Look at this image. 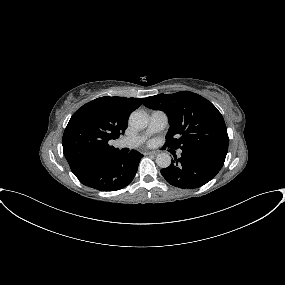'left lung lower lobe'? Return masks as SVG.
<instances>
[{
	"mask_svg": "<svg viewBox=\"0 0 285 285\" xmlns=\"http://www.w3.org/2000/svg\"><path fill=\"white\" fill-rule=\"evenodd\" d=\"M226 156L202 151H183L180 158L161 170L166 181L178 188L194 189L213 179L222 168Z\"/></svg>",
	"mask_w": 285,
	"mask_h": 285,
	"instance_id": "left-lung-lower-lobe-1",
	"label": "left lung lower lobe"
}]
</instances>
